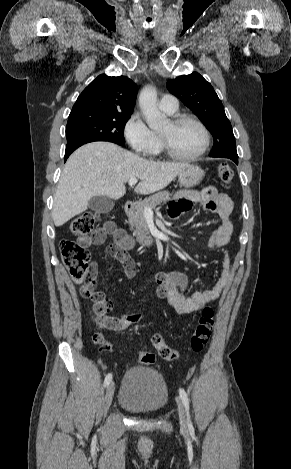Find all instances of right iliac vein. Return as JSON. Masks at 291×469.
I'll use <instances>...</instances> for the list:
<instances>
[{
	"label": "right iliac vein",
	"instance_id": "obj_1",
	"mask_svg": "<svg viewBox=\"0 0 291 469\" xmlns=\"http://www.w3.org/2000/svg\"><path fill=\"white\" fill-rule=\"evenodd\" d=\"M114 390H115L114 382H111L108 385L107 390H106V394H105V402H104V412H105V414L109 410L110 405L112 403Z\"/></svg>",
	"mask_w": 291,
	"mask_h": 469
}]
</instances>
